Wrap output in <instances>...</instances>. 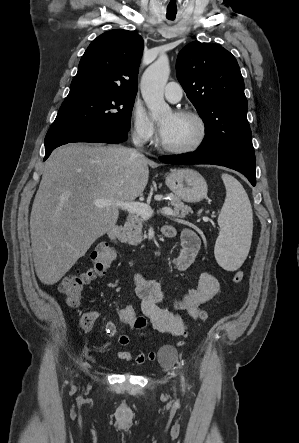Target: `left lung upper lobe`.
Here are the masks:
<instances>
[{
	"instance_id": "left-lung-upper-lobe-1",
	"label": "left lung upper lobe",
	"mask_w": 299,
	"mask_h": 443,
	"mask_svg": "<svg viewBox=\"0 0 299 443\" xmlns=\"http://www.w3.org/2000/svg\"><path fill=\"white\" fill-rule=\"evenodd\" d=\"M176 74L205 124L197 150L221 156L254 153L244 81L234 56L219 45L194 41L180 51Z\"/></svg>"
}]
</instances>
